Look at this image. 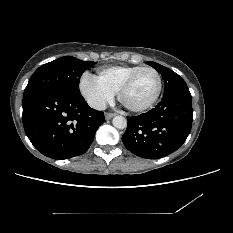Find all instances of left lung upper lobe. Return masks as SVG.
Segmentation results:
<instances>
[{"instance_id": "obj_1", "label": "left lung upper lobe", "mask_w": 233, "mask_h": 233, "mask_svg": "<svg viewBox=\"0 0 233 233\" xmlns=\"http://www.w3.org/2000/svg\"><path fill=\"white\" fill-rule=\"evenodd\" d=\"M146 64L152 66L155 68L159 73H161L164 82H165V87H164V95H167L173 90H176L181 87L187 86L185 81L174 71L158 64L152 61H147Z\"/></svg>"}]
</instances>
